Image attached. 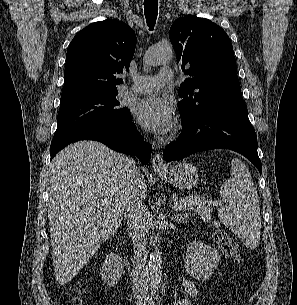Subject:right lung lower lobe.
Wrapping results in <instances>:
<instances>
[{"label": "right lung lower lobe", "instance_id": "right-lung-lower-lobe-1", "mask_svg": "<svg viewBox=\"0 0 297 305\" xmlns=\"http://www.w3.org/2000/svg\"><path fill=\"white\" fill-rule=\"evenodd\" d=\"M78 140H95L117 152L136 154L144 165L150 161L152 146L140 137L130 115L123 121L93 122L71 130L51 142V159L65 146Z\"/></svg>", "mask_w": 297, "mask_h": 305}]
</instances>
